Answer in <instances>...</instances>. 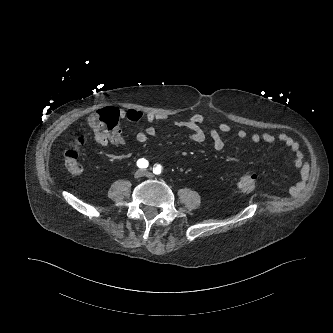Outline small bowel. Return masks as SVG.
Wrapping results in <instances>:
<instances>
[{"label":"small bowel","instance_id":"small-bowel-1","mask_svg":"<svg viewBox=\"0 0 333 333\" xmlns=\"http://www.w3.org/2000/svg\"><path fill=\"white\" fill-rule=\"evenodd\" d=\"M123 118L128 119L131 122H139L141 120H145L149 125L144 128L143 130L139 131L136 134V141L138 143H145L150 137L156 135L157 130L156 127L153 125L154 123L164 122L167 120V116L162 113H147L144 114L137 109H128L121 113ZM209 122L211 123L212 127L209 129L208 135L212 142V148L216 152H221L225 147V142L223 135L229 134L232 132V127L223 122H217L214 119L210 118L209 116L196 113L188 117L187 119H173L172 125L177 128H184L189 130L188 138L190 141L194 143H202L206 138V133L201 128V125ZM236 136L239 139H246L248 138V133L244 129H239L236 131ZM250 140L254 144H259L261 142L267 144H273L275 142H281L285 146H287L294 155V163L297 168H300L302 171V177L304 178L308 171V165L301 150L300 144L290 135L284 132H280L277 134H272L269 132L264 133H253L250 135ZM109 143L124 146L126 144L125 139L122 137L121 132L117 130L116 135L112 136L108 139L105 135H100L96 139V144L100 148H105L108 146ZM251 174L254 179L256 180L257 175L254 173ZM303 178L297 184L292 186V192H296L300 185L303 183Z\"/></svg>","mask_w":333,"mask_h":333}]
</instances>
